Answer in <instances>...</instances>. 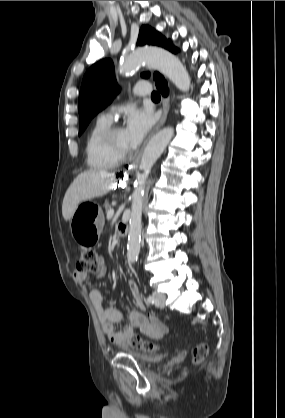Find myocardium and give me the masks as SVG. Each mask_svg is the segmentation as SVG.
Returning <instances> with one entry per match:
<instances>
[{
  "label": "myocardium",
  "mask_w": 285,
  "mask_h": 418,
  "mask_svg": "<svg viewBox=\"0 0 285 418\" xmlns=\"http://www.w3.org/2000/svg\"><path fill=\"white\" fill-rule=\"evenodd\" d=\"M117 128L119 127L115 124H108L100 135V143L111 157L122 160L129 156L130 149H119L115 146L113 138Z\"/></svg>",
  "instance_id": "obj_1"
}]
</instances>
